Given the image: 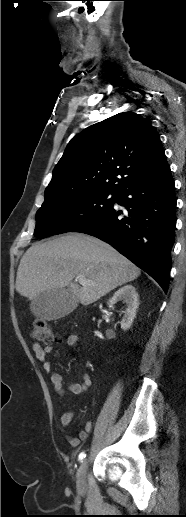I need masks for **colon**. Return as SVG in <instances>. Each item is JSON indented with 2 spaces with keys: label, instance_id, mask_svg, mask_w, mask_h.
<instances>
[{
  "label": "colon",
  "instance_id": "obj_1",
  "mask_svg": "<svg viewBox=\"0 0 186 517\" xmlns=\"http://www.w3.org/2000/svg\"><path fill=\"white\" fill-rule=\"evenodd\" d=\"M33 337L38 342L50 344L56 341V335L51 327L43 320H37L34 323Z\"/></svg>",
  "mask_w": 186,
  "mask_h": 517
}]
</instances>
